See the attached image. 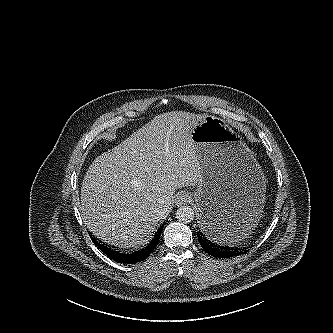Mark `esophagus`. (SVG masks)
I'll return each instance as SVG.
<instances>
[{"label":"esophagus","instance_id":"34e87169","mask_svg":"<svg viewBox=\"0 0 333 333\" xmlns=\"http://www.w3.org/2000/svg\"><path fill=\"white\" fill-rule=\"evenodd\" d=\"M190 196L187 194V193H180L176 200H175V203L177 206H181L185 203H188L190 201Z\"/></svg>","mask_w":333,"mask_h":333}]
</instances>
